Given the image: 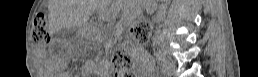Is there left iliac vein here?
<instances>
[{"label": "left iliac vein", "mask_w": 258, "mask_h": 77, "mask_svg": "<svg viewBox=\"0 0 258 77\" xmlns=\"http://www.w3.org/2000/svg\"><path fill=\"white\" fill-rule=\"evenodd\" d=\"M161 70L165 75L171 76L175 72V64L172 60L163 58Z\"/></svg>", "instance_id": "left-iliac-vein-1"}]
</instances>
